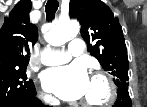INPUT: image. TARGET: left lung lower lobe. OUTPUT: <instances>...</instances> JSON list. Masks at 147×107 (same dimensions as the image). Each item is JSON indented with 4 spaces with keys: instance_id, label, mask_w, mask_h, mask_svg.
<instances>
[{
    "instance_id": "left-lung-lower-lobe-1",
    "label": "left lung lower lobe",
    "mask_w": 147,
    "mask_h": 107,
    "mask_svg": "<svg viewBox=\"0 0 147 107\" xmlns=\"http://www.w3.org/2000/svg\"><path fill=\"white\" fill-rule=\"evenodd\" d=\"M113 107H132V102L128 92V85H122L117 90V100Z\"/></svg>"
}]
</instances>
